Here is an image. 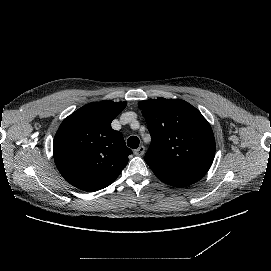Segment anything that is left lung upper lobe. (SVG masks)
Masks as SVG:
<instances>
[{
    "label": "left lung upper lobe",
    "mask_w": 271,
    "mask_h": 271,
    "mask_svg": "<svg viewBox=\"0 0 271 271\" xmlns=\"http://www.w3.org/2000/svg\"><path fill=\"white\" fill-rule=\"evenodd\" d=\"M138 106L152 142L145 159L206 173L215 156L213 131L203 115L181 99H150Z\"/></svg>",
    "instance_id": "obj_1"
}]
</instances>
